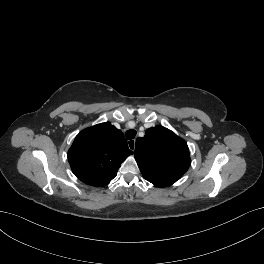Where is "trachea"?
Returning a JSON list of instances; mask_svg holds the SVG:
<instances>
[{
	"mask_svg": "<svg viewBox=\"0 0 264 264\" xmlns=\"http://www.w3.org/2000/svg\"><path fill=\"white\" fill-rule=\"evenodd\" d=\"M125 136L127 139H133L136 136V131L131 129V130H127L125 133Z\"/></svg>",
	"mask_w": 264,
	"mask_h": 264,
	"instance_id": "1",
	"label": "trachea"
}]
</instances>
